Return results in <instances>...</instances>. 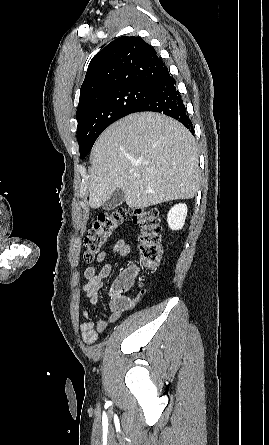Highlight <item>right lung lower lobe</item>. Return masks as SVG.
I'll use <instances>...</instances> for the list:
<instances>
[{"mask_svg": "<svg viewBox=\"0 0 269 445\" xmlns=\"http://www.w3.org/2000/svg\"><path fill=\"white\" fill-rule=\"evenodd\" d=\"M151 94L140 103L135 112L153 111L168 115L179 122L194 134L192 122L188 118L186 108L176 88V81L170 76L168 69L151 85Z\"/></svg>", "mask_w": 269, "mask_h": 445, "instance_id": "98d812e1", "label": "right lung lower lobe"}]
</instances>
